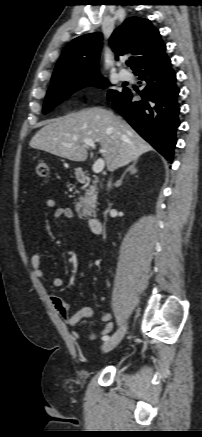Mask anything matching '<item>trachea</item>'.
I'll use <instances>...</instances> for the list:
<instances>
[{
  "label": "trachea",
  "instance_id": "obj_1",
  "mask_svg": "<svg viewBox=\"0 0 202 437\" xmlns=\"http://www.w3.org/2000/svg\"><path fill=\"white\" fill-rule=\"evenodd\" d=\"M126 64H127V66H131V62L130 61H127Z\"/></svg>",
  "mask_w": 202,
  "mask_h": 437
}]
</instances>
